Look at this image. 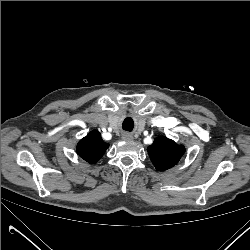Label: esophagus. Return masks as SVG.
<instances>
[{
    "label": "esophagus",
    "mask_w": 250,
    "mask_h": 250,
    "mask_svg": "<svg viewBox=\"0 0 250 250\" xmlns=\"http://www.w3.org/2000/svg\"><path fill=\"white\" fill-rule=\"evenodd\" d=\"M122 138L125 140V141H132L133 140V136L129 133H124Z\"/></svg>",
    "instance_id": "1"
}]
</instances>
